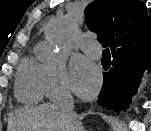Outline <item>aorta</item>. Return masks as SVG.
I'll return each mask as SVG.
<instances>
[{
	"label": "aorta",
	"mask_w": 151,
	"mask_h": 131,
	"mask_svg": "<svg viewBox=\"0 0 151 131\" xmlns=\"http://www.w3.org/2000/svg\"><path fill=\"white\" fill-rule=\"evenodd\" d=\"M69 23H55L47 31V37L51 43L54 45L60 44L68 30Z\"/></svg>",
	"instance_id": "762f6f07"
}]
</instances>
